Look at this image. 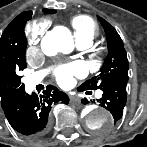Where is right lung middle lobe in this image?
<instances>
[{
    "label": "right lung middle lobe",
    "instance_id": "obj_1",
    "mask_svg": "<svg viewBox=\"0 0 147 147\" xmlns=\"http://www.w3.org/2000/svg\"><path fill=\"white\" fill-rule=\"evenodd\" d=\"M48 12L55 13L56 11L52 10V11H48ZM31 16H32V12L28 11L26 14V17L23 21V24L20 26V31H21L26 43H27V40H26V37L24 34V27H25L26 22L31 18ZM25 68H26V63H24L18 70L14 71L10 76L9 82H10L14 92H24L25 91L24 84L21 83V76L18 75V71L23 70Z\"/></svg>",
    "mask_w": 147,
    "mask_h": 147
}]
</instances>
